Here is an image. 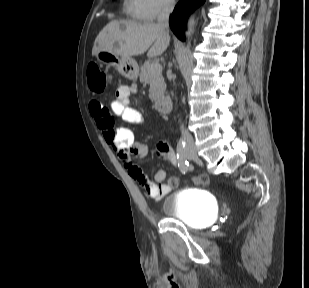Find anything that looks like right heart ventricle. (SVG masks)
<instances>
[{
	"label": "right heart ventricle",
	"mask_w": 309,
	"mask_h": 288,
	"mask_svg": "<svg viewBox=\"0 0 309 288\" xmlns=\"http://www.w3.org/2000/svg\"><path fill=\"white\" fill-rule=\"evenodd\" d=\"M124 8L126 13L135 19H147L140 0H126Z\"/></svg>",
	"instance_id": "right-heart-ventricle-1"
}]
</instances>
